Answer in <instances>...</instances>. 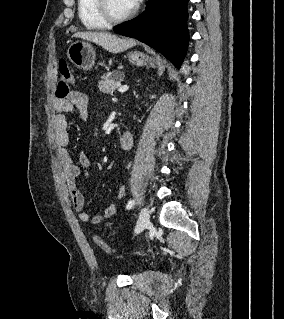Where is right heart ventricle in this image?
<instances>
[{
	"instance_id": "e07e8e85",
	"label": "right heart ventricle",
	"mask_w": 284,
	"mask_h": 319,
	"mask_svg": "<svg viewBox=\"0 0 284 319\" xmlns=\"http://www.w3.org/2000/svg\"><path fill=\"white\" fill-rule=\"evenodd\" d=\"M78 16L87 29H103L108 23L102 18L97 8V0H77Z\"/></svg>"
}]
</instances>
